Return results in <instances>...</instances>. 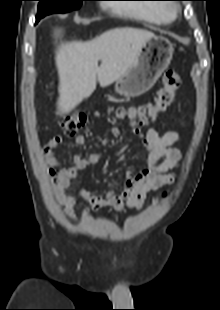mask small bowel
Segmentation results:
<instances>
[{"label": "small bowel", "instance_id": "c3829d8e", "mask_svg": "<svg viewBox=\"0 0 220 310\" xmlns=\"http://www.w3.org/2000/svg\"><path fill=\"white\" fill-rule=\"evenodd\" d=\"M133 132L143 140L147 148L146 167L137 174L127 170L120 183L121 192L111 189L104 196H101L93 194L84 188H79L78 194L87 200L94 210L106 206L118 210L126 208L140 210L150 192L156 191L165 185H170L176 180V170L182 157L180 150L176 147V143L180 139L179 133L168 131L161 135L154 128L148 129L146 134L135 128ZM110 133L113 139H117L121 135L120 129L116 126L110 129ZM62 140L61 135H56L45 144L43 147V163L48 175L55 184L56 199L63 207L65 216L72 221H76L74 212L76 198L73 195L66 194V190L83 171L96 165L102 159V156L100 154L87 157L75 155L72 166L56 171L55 168L61 165L57 157V149ZM86 142L87 137L83 134L75 137V143L79 146H84Z\"/></svg>", "mask_w": 220, "mask_h": 310}]
</instances>
